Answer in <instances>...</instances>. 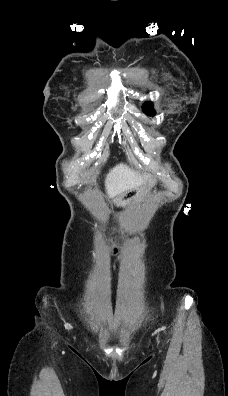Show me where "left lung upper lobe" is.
Listing matches in <instances>:
<instances>
[{
  "instance_id": "obj_1",
  "label": "left lung upper lobe",
  "mask_w": 228,
  "mask_h": 396,
  "mask_svg": "<svg viewBox=\"0 0 228 396\" xmlns=\"http://www.w3.org/2000/svg\"><path fill=\"white\" fill-rule=\"evenodd\" d=\"M143 111L150 116L155 114L153 104L151 102H147L143 105Z\"/></svg>"
}]
</instances>
